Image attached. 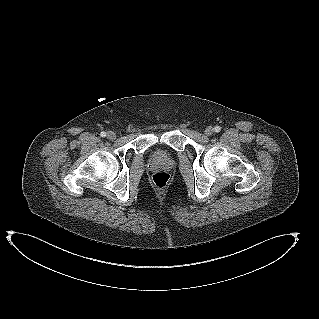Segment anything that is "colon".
I'll return each mask as SVG.
<instances>
[{
    "mask_svg": "<svg viewBox=\"0 0 319 319\" xmlns=\"http://www.w3.org/2000/svg\"><path fill=\"white\" fill-rule=\"evenodd\" d=\"M153 184L159 188H165L170 181V174L166 171H157L152 176Z\"/></svg>",
    "mask_w": 319,
    "mask_h": 319,
    "instance_id": "obj_1",
    "label": "colon"
}]
</instances>
